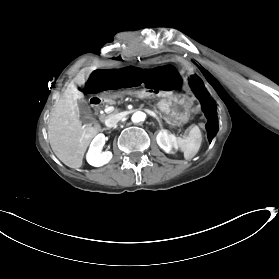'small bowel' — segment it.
<instances>
[{"mask_svg": "<svg viewBox=\"0 0 279 279\" xmlns=\"http://www.w3.org/2000/svg\"><path fill=\"white\" fill-rule=\"evenodd\" d=\"M146 85L154 90L172 91L182 85V78L173 67L161 66L148 75Z\"/></svg>", "mask_w": 279, "mask_h": 279, "instance_id": "c3829d8e", "label": "small bowel"}]
</instances>
